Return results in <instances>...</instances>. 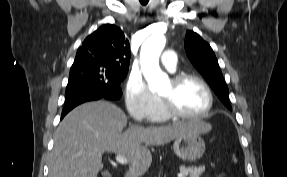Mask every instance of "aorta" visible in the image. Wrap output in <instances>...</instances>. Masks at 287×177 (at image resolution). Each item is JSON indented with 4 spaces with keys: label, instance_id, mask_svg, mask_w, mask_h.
Returning a JSON list of instances; mask_svg holds the SVG:
<instances>
[{
    "label": "aorta",
    "instance_id": "obj_1",
    "mask_svg": "<svg viewBox=\"0 0 287 177\" xmlns=\"http://www.w3.org/2000/svg\"><path fill=\"white\" fill-rule=\"evenodd\" d=\"M165 44V36L155 33L148 37L141 46V70L152 92L160 90L168 81V76L159 67V57Z\"/></svg>",
    "mask_w": 287,
    "mask_h": 177
}]
</instances>
